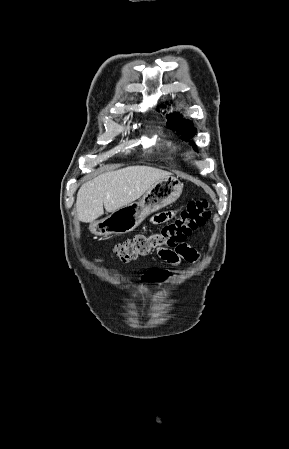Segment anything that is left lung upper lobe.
<instances>
[{"label": "left lung upper lobe", "instance_id": "left-lung-upper-lobe-1", "mask_svg": "<svg viewBox=\"0 0 289 449\" xmlns=\"http://www.w3.org/2000/svg\"><path fill=\"white\" fill-rule=\"evenodd\" d=\"M167 125L172 130L178 129V133L182 134V138L186 141H188L189 138H192L196 133V129L192 128V122L182 119V116L179 115V113L168 115ZM191 145L194 144L191 142Z\"/></svg>", "mask_w": 289, "mask_h": 449}]
</instances>
